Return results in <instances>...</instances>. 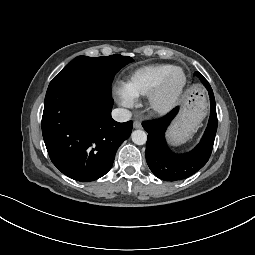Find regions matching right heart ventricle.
<instances>
[{
    "mask_svg": "<svg viewBox=\"0 0 255 255\" xmlns=\"http://www.w3.org/2000/svg\"><path fill=\"white\" fill-rule=\"evenodd\" d=\"M175 66L170 64H155L135 70L127 85L136 96L150 94Z\"/></svg>",
    "mask_w": 255,
    "mask_h": 255,
    "instance_id": "e07e8e85",
    "label": "right heart ventricle"
}]
</instances>
